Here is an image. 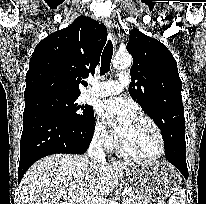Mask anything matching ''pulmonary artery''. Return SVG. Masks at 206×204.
Returning a JSON list of instances; mask_svg holds the SVG:
<instances>
[{
	"instance_id": "pulmonary-artery-1",
	"label": "pulmonary artery",
	"mask_w": 206,
	"mask_h": 204,
	"mask_svg": "<svg viewBox=\"0 0 206 204\" xmlns=\"http://www.w3.org/2000/svg\"><path fill=\"white\" fill-rule=\"evenodd\" d=\"M129 84V76L126 72L118 75V80H108L102 83L93 84L85 94L86 97H104L117 94Z\"/></svg>"
}]
</instances>
